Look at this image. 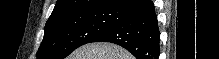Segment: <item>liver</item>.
<instances>
[{
	"instance_id": "obj_1",
	"label": "liver",
	"mask_w": 219,
	"mask_h": 59,
	"mask_svg": "<svg viewBox=\"0 0 219 59\" xmlns=\"http://www.w3.org/2000/svg\"><path fill=\"white\" fill-rule=\"evenodd\" d=\"M67 59H134V57L120 46L99 42L76 49Z\"/></svg>"
}]
</instances>
